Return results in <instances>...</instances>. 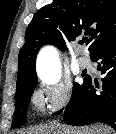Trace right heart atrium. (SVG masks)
Returning a JSON list of instances; mask_svg holds the SVG:
<instances>
[{
    "mask_svg": "<svg viewBox=\"0 0 116 134\" xmlns=\"http://www.w3.org/2000/svg\"><path fill=\"white\" fill-rule=\"evenodd\" d=\"M72 95V86L69 82L57 81L43 85L34 95L36 103L50 114L64 109Z\"/></svg>",
    "mask_w": 116,
    "mask_h": 134,
    "instance_id": "obj_1",
    "label": "right heart atrium"
}]
</instances>
